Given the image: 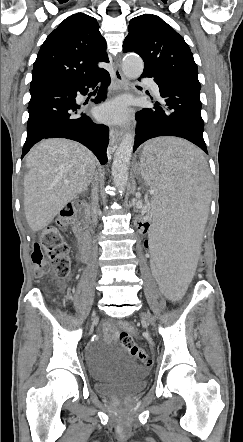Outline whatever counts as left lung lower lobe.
I'll return each mask as SVG.
<instances>
[{
	"label": "left lung lower lobe",
	"instance_id": "obj_1",
	"mask_svg": "<svg viewBox=\"0 0 243 442\" xmlns=\"http://www.w3.org/2000/svg\"><path fill=\"white\" fill-rule=\"evenodd\" d=\"M142 77L154 78L159 85L163 103L153 101L154 108H143L137 112L138 128L133 151L148 139L176 136L187 139L208 154L203 139L204 122L200 113L201 86L198 79L178 75H157L148 69L143 71Z\"/></svg>",
	"mask_w": 243,
	"mask_h": 442
}]
</instances>
